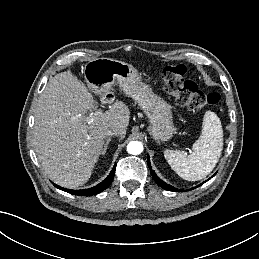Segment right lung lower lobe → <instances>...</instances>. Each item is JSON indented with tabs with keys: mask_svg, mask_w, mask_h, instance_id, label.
Listing matches in <instances>:
<instances>
[{
	"mask_svg": "<svg viewBox=\"0 0 259 259\" xmlns=\"http://www.w3.org/2000/svg\"><path fill=\"white\" fill-rule=\"evenodd\" d=\"M115 169H116V164L114 165L112 171L110 172V174L108 175V177L101 183H99L98 185L92 187V188H88V189H82V190H71V189H66V188H61L60 186L54 184L55 187H57L58 189H61L63 191H66L70 194L73 195H79V196H92V195H96L100 192H102L103 190H105L112 182L114 175H115Z\"/></svg>",
	"mask_w": 259,
	"mask_h": 259,
	"instance_id": "obj_1",
	"label": "right lung lower lobe"
}]
</instances>
